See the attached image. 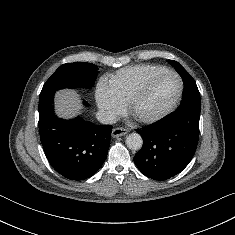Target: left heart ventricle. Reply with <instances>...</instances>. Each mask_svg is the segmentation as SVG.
I'll use <instances>...</instances> for the list:
<instances>
[{
  "label": "left heart ventricle",
  "instance_id": "1",
  "mask_svg": "<svg viewBox=\"0 0 235 235\" xmlns=\"http://www.w3.org/2000/svg\"><path fill=\"white\" fill-rule=\"evenodd\" d=\"M179 82L173 76H164L155 80L145 97L137 105V117H151L165 110L176 98Z\"/></svg>",
  "mask_w": 235,
  "mask_h": 235
}]
</instances>
